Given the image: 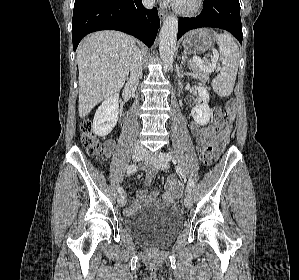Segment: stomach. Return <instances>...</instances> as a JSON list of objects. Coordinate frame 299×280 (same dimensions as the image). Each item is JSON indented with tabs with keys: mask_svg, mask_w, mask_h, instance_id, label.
I'll return each instance as SVG.
<instances>
[{
	"mask_svg": "<svg viewBox=\"0 0 299 280\" xmlns=\"http://www.w3.org/2000/svg\"><path fill=\"white\" fill-rule=\"evenodd\" d=\"M183 47L190 53H205L206 51L213 49L214 38L207 30H193L184 37Z\"/></svg>",
	"mask_w": 299,
	"mask_h": 280,
	"instance_id": "obj_1",
	"label": "stomach"
}]
</instances>
